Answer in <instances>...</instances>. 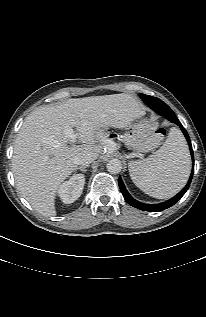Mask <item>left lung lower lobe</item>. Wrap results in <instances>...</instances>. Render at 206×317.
<instances>
[{
    "label": "left lung lower lobe",
    "mask_w": 206,
    "mask_h": 317,
    "mask_svg": "<svg viewBox=\"0 0 206 317\" xmlns=\"http://www.w3.org/2000/svg\"><path fill=\"white\" fill-rule=\"evenodd\" d=\"M148 103H149L148 106L151 109H153L158 114L166 117L169 121L177 124L181 128V130H182L183 134L185 135L186 140L189 144L190 153H191L192 162H193L191 176L189 178L187 185L175 197H173L172 199H170L164 203H161V204H155V205L144 204V203H141V202L135 200L126 190L121 177L119 178V187H120L121 193L123 194L126 202L129 205H131L135 208H138L140 210H144V211L159 212V211H162V210H165V209L171 207L176 202H178L182 198V196L185 194V192L188 190L190 182H191L192 177H193V173H194V155H193V150H192L189 135H188L187 131L183 128V126L181 125V123L179 122V120L177 119L175 114L173 113V111L170 108H165L164 106H160L159 104L152 102V101H148Z\"/></svg>",
    "instance_id": "obj_1"
}]
</instances>
